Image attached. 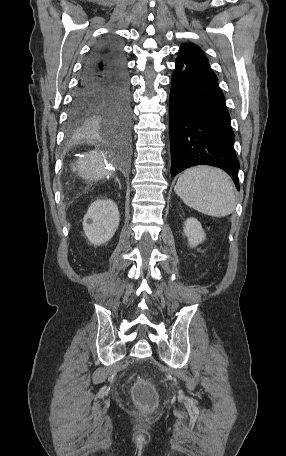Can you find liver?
Wrapping results in <instances>:
<instances>
[{
    "label": "liver",
    "mask_w": 286,
    "mask_h": 456,
    "mask_svg": "<svg viewBox=\"0 0 286 456\" xmlns=\"http://www.w3.org/2000/svg\"><path fill=\"white\" fill-rule=\"evenodd\" d=\"M106 155L101 151L95 150L87 153L73 165V172H78L79 176L86 182L98 181L105 176H113L114 170H105Z\"/></svg>",
    "instance_id": "liver-1"
}]
</instances>
